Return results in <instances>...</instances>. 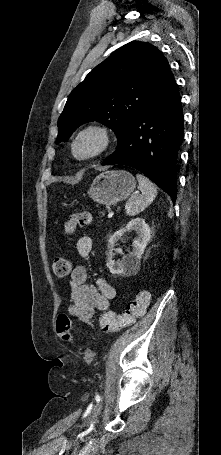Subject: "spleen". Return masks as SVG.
<instances>
[{"instance_id":"obj_1","label":"spleen","mask_w":221,"mask_h":455,"mask_svg":"<svg viewBox=\"0 0 221 455\" xmlns=\"http://www.w3.org/2000/svg\"><path fill=\"white\" fill-rule=\"evenodd\" d=\"M138 189L141 194L132 195L125 204V212L128 216H135L147 208L157 195L154 184L144 175L137 174Z\"/></svg>"}]
</instances>
